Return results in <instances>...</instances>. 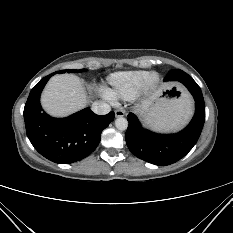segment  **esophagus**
<instances>
[{"instance_id": "1", "label": "esophagus", "mask_w": 233, "mask_h": 233, "mask_svg": "<svg viewBox=\"0 0 233 233\" xmlns=\"http://www.w3.org/2000/svg\"><path fill=\"white\" fill-rule=\"evenodd\" d=\"M125 115V111L123 109H117L115 111V117H123Z\"/></svg>"}]
</instances>
